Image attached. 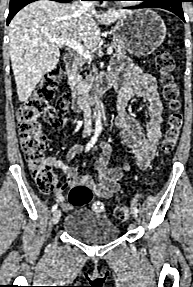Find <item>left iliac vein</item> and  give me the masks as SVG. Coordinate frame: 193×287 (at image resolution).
I'll return each instance as SVG.
<instances>
[{"mask_svg":"<svg viewBox=\"0 0 193 287\" xmlns=\"http://www.w3.org/2000/svg\"><path fill=\"white\" fill-rule=\"evenodd\" d=\"M133 217L135 218V220H137L138 219V214H137V212H133Z\"/></svg>","mask_w":193,"mask_h":287,"instance_id":"4c4485c4","label":"left iliac vein"}]
</instances>
